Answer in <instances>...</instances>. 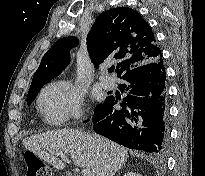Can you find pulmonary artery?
<instances>
[{"label":"pulmonary artery","instance_id":"1","mask_svg":"<svg viewBox=\"0 0 205 176\" xmlns=\"http://www.w3.org/2000/svg\"><path fill=\"white\" fill-rule=\"evenodd\" d=\"M100 84L106 89H112L114 87V80L110 77H103L100 79Z\"/></svg>","mask_w":205,"mask_h":176}]
</instances>
